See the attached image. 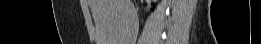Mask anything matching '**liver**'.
<instances>
[{
	"mask_svg": "<svg viewBox=\"0 0 261 44\" xmlns=\"http://www.w3.org/2000/svg\"><path fill=\"white\" fill-rule=\"evenodd\" d=\"M96 25L97 44L133 42L127 24H134L136 10L131 0H89Z\"/></svg>",
	"mask_w": 261,
	"mask_h": 44,
	"instance_id": "liver-1",
	"label": "liver"
}]
</instances>
